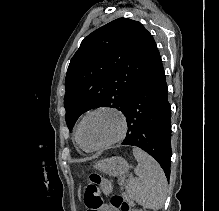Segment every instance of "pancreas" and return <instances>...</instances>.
Instances as JSON below:
<instances>
[{
    "mask_svg": "<svg viewBox=\"0 0 219 211\" xmlns=\"http://www.w3.org/2000/svg\"><path fill=\"white\" fill-rule=\"evenodd\" d=\"M127 201H130V197H128Z\"/></svg>",
    "mask_w": 219,
    "mask_h": 211,
    "instance_id": "1",
    "label": "pancreas"
}]
</instances>
